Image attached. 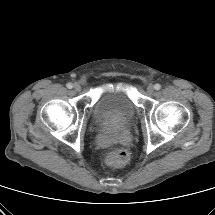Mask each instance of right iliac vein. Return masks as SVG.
<instances>
[{"mask_svg": "<svg viewBox=\"0 0 215 215\" xmlns=\"http://www.w3.org/2000/svg\"><path fill=\"white\" fill-rule=\"evenodd\" d=\"M73 88H74V90L77 91V92H79V91L81 90V86H80V84H78V83H75L74 86H73Z\"/></svg>", "mask_w": 215, "mask_h": 215, "instance_id": "obj_1", "label": "right iliac vein"}]
</instances>
